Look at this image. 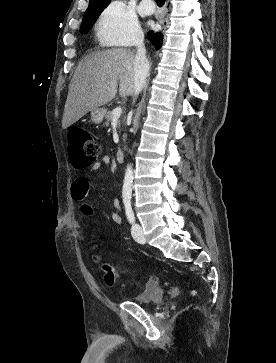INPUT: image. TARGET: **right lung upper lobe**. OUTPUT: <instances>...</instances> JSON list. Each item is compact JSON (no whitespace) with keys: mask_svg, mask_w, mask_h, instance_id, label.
Here are the masks:
<instances>
[{"mask_svg":"<svg viewBox=\"0 0 276 363\" xmlns=\"http://www.w3.org/2000/svg\"><path fill=\"white\" fill-rule=\"evenodd\" d=\"M110 0H90L89 5L91 4H108Z\"/></svg>","mask_w":276,"mask_h":363,"instance_id":"1","label":"right lung upper lobe"}]
</instances>
